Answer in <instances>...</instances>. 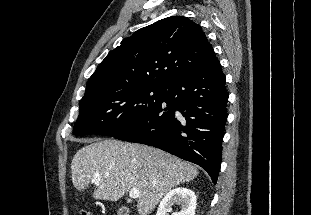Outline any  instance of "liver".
<instances>
[{
	"label": "liver",
	"mask_w": 311,
	"mask_h": 215,
	"mask_svg": "<svg viewBox=\"0 0 311 215\" xmlns=\"http://www.w3.org/2000/svg\"><path fill=\"white\" fill-rule=\"evenodd\" d=\"M71 163L72 182L81 191L95 184L93 198L118 201L139 190V215L149 214L172 188L197 177L198 169L162 150L114 139L90 141ZM96 173L99 181H93Z\"/></svg>",
	"instance_id": "6515ba94"
}]
</instances>
